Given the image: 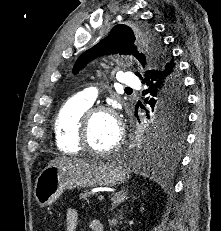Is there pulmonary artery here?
<instances>
[{"label":"pulmonary artery","mask_w":221,"mask_h":231,"mask_svg":"<svg viewBox=\"0 0 221 231\" xmlns=\"http://www.w3.org/2000/svg\"><path fill=\"white\" fill-rule=\"evenodd\" d=\"M119 82L122 86L125 87H137L139 84V80L133 76V74L124 72L119 75ZM99 96V92L96 88L90 87L86 88L82 92L78 94V97L89 104H92L96 101Z\"/></svg>","instance_id":"e3ab8cb5"}]
</instances>
